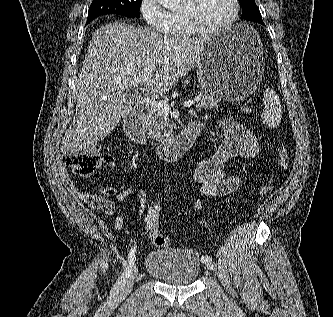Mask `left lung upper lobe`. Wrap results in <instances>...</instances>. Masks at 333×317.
I'll list each match as a JSON object with an SVG mask.
<instances>
[{
  "label": "left lung upper lobe",
  "instance_id": "left-lung-upper-lobe-1",
  "mask_svg": "<svg viewBox=\"0 0 333 317\" xmlns=\"http://www.w3.org/2000/svg\"><path fill=\"white\" fill-rule=\"evenodd\" d=\"M242 5V15L241 18L244 20L256 21L263 23L261 13L255 3V0H239Z\"/></svg>",
  "mask_w": 333,
  "mask_h": 317
}]
</instances>
